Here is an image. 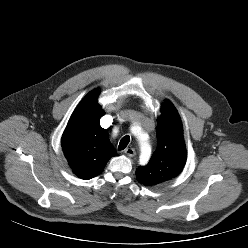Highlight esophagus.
Returning <instances> with one entry per match:
<instances>
[{"mask_svg":"<svg viewBox=\"0 0 248 248\" xmlns=\"http://www.w3.org/2000/svg\"><path fill=\"white\" fill-rule=\"evenodd\" d=\"M124 153L129 157H133L136 154V152H135V150L133 148L125 149Z\"/></svg>","mask_w":248,"mask_h":248,"instance_id":"1","label":"esophagus"}]
</instances>
